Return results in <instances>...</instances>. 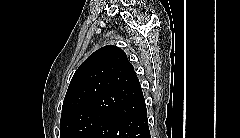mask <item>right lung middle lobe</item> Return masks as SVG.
<instances>
[{
    "label": "right lung middle lobe",
    "mask_w": 240,
    "mask_h": 138,
    "mask_svg": "<svg viewBox=\"0 0 240 138\" xmlns=\"http://www.w3.org/2000/svg\"><path fill=\"white\" fill-rule=\"evenodd\" d=\"M106 115V112L90 110L63 117L60 121V138H86Z\"/></svg>",
    "instance_id": "right-lung-middle-lobe-1"
}]
</instances>
